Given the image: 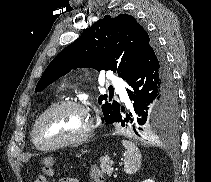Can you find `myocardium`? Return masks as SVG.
<instances>
[{
	"label": "myocardium",
	"instance_id": "f54148a6",
	"mask_svg": "<svg viewBox=\"0 0 211 182\" xmlns=\"http://www.w3.org/2000/svg\"><path fill=\"white\" fill-rule=\"evenodd\" d=\"M69 107L82 110L89 117V124H88V127L85 130V132L83 134H81L80 136H77L72 139L59 141V142L52 143V144L42 143L40 140V137L38 135V131H39V128H40L42 122L46 118H48L50 115H52L53 113H55L63 108H69ZM94 128H95L94 120H93L90 112L88 111V109L83 104L76 102V101H71V100L61 101V102L51 106L50 108H48L37 118V120L35 121V123L33 125V129H32V139L38 148H40L42 150H51V149L64 147V146L78 145V144L85 142L93 134Z\"/></svg>",
	"mask_w": 211,
	"mask_h": 182
}]
</instances>
